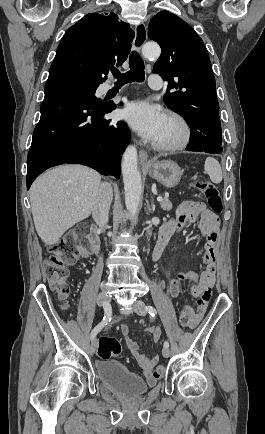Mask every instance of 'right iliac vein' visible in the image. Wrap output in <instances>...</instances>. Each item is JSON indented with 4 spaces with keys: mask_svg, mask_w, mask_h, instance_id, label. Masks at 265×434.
<instances>
[{
    "mask_svg": "<svg viewBox=\"0 0 265 434\" xmlns=\"http://www.w3.org/2000/svg\"><path fill=\"white\" fill-rule=\"evenodd\" d=\"M97 301H98L99 305H110V298H109V296L107 294H104V293L98 295ZM97 347H98V342L94 338L92 340L91 348H90V353L92 355L96 352Z\"/></svg>",
    "mask_w": 265,
    "mask_h": 434,
    "instance_id": "right-iliac-vein-1",
    "label": "right iliac vein"
}]
</instances>
